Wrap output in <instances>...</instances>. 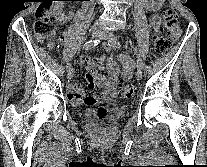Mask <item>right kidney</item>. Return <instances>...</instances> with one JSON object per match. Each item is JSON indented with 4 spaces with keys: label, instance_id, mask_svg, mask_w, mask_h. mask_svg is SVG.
I'll use <instances>...</instances> for the list:
<instances>
[{
    "label": "right kidney",
    "instance_id": "ca27d5eb",
    "mask_svg": "<svg viewBox=\"0 0 207 167\" xmlns=\"http://www.w3.org/2000/svg\"><path fill=\"white\" fill-rule=\"evenodd\" d=\"M64 3V1H55L54 3V15L59 21H66L71 18V16H65V14L62 12Z\"/></svg>",
    "mask_w": 207,
    "mask_h": 167
}]
</instances>
